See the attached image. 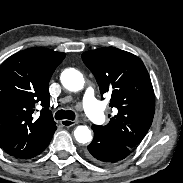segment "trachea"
Here are the masks:
<instances>
[{"label":"trachea","mask_w":183,"mask_h":183,"mask_svg":"<svg viewBox=\"0 0 183 183\" xmlns=\"http://www.w3.org/2000/svg\"><path fill=\"white\" fill-rule=\"evenodd\" d=\"M76 117L75 113L71 110H59L55 113V119L62 120V119H68V120H74Z\"/></svg>","instance_id":"3493384b"}]
</instances>
